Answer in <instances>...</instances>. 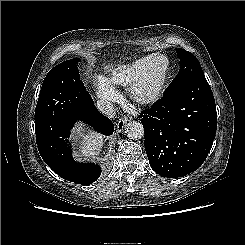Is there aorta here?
I'll return each mask as SVG.
<instances>
[{"mask_svg":"<svg viewBox=\"0 0 245 245\" xmlns=\"http://www.w3.org/2000/svg\"><path fill=\"white\" fill-rule=\"evenodd\" d=\"M125 133L130 139H139L144 135L143 125L137 121H130L125 127Z\"/></svg>","mask_w":245,"mask_h":245,"instance_id":"1","label":"aorta"}]
</instances>
